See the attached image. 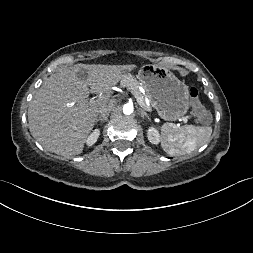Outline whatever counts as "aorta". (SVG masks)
Listing matches in <instances>:
<instances>
[{
    "label": "aorta",
    "mask_w": 253,
    "mask_h": 253,
    "mask_svg": "<svg viewBox=\"0 0 253 253\" xmlns=\"http://www.w3.org/2000/svg\"><path fill=\"white\" fill-rule=\"evenodd\" d=\"M133 110H134V108H133V105L132 104H125L124 106H123V113L125 114V115H130V114H132L133 113Z\"/></svg>",
    "instance_id": "1"
}]
</instances>
